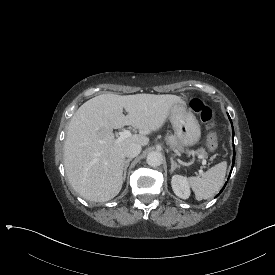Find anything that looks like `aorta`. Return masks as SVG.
Here are the masks:
<instances>
[{
	"instance_id": "aorta-1",
	"label": "aorta",
	"mask_w": 275,
	"mask_h": 275,
	"mask_svg": "<svg viewBox=\"0 0 275 275\" xmlns=\"http://www.w3.org/2000/svg\"><path fill=\"white\" fill-rule=\"evenodd\" d=\"M163 161V155L158 151H151L147 155V162L151 166H159Z\"/></svg>"
}]
</instances>
